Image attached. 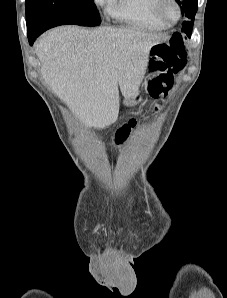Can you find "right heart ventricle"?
<instances>
[{
    "label": "right heart ventricle",
    "instance_id": "right-heart-ventricle-1",
    "mask_svg": "<svg viewBox=\"0 0 227 298\" xmlns=\"http://www.w3.org/2000/svg\"><path fill=\"white\" fill-rule=\"evenodd\" d=\"M155 0H107L105 3L107 13L131 27L160 31L168 27L158 19L153 12Z\"/></svg>",
    "mask_w": 227,
    "mask_h": 298
}]
</instances>
